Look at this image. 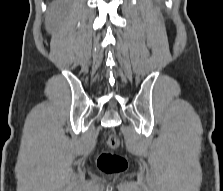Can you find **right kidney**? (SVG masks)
<instances>
[{"instance_id":"ca27d5eb","label":"right kidney","mask_w":223,"mask_h":191,"mask_svg":"<svg viewBox=\"0 0 223 191\" xmlns=\"http://www.w3.org/2000/svg\"><path fill=\"white\" fill-rule=\"evenodd\" d=\"M60 1H57L55 3H53V7L51 8V13L48 17V21H47V28L48 29H51L52 28V25H53V18H52V10L56 7H58V4H59Z\"/></svg>"}]
</instances>
